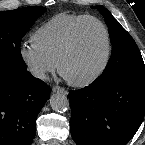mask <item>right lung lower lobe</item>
Segmentation results:
<instances>
[{
    "label": "right lung lower lobe",
    "mask_w": 145,
    "mask_h": 145,
    "mask_svg": "<svg viewBox=\"0 0 145 145\" xmlns=\"http://www.w3.org/2000/svg\"><path fill=\"white\" fill-rule=\"evenodd\" d=\"M49 86L28 71L0 79V145H31Z\"/></svg>",
    "instance_id": "right-lung-lower-lobe-1"
}]
</instances>
